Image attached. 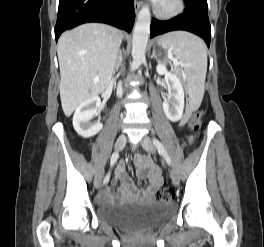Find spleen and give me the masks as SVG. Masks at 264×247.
I'll return each mask as SVG.
<instances>
[{
	"instance_id": "obj_1",
	"label": "spleen",
	"mask_w": 264,
	"mask_h": 247,
	"mask_svg": "<svg viewBox=\"0 0 264 247\" xmlns=\"http://www.w3.org/2000/svg\"><path fill=\"white\" fill-rule=\"evenodd\" d=\"M158 44L179 60L190 99L200 103L207 72V51L203 41L191 33L177 31L160 37Z\"/></svg>"
}]
</instances>
